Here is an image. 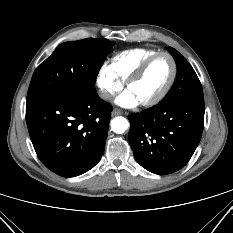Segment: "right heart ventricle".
Returning a JSON list of instances; mask_svg holds the SVG:
<instances>
[{
  "label": "right heart ventricle",
  "instance_id": "right-heart-ventricle-1",
  "mask_svg": "<svg viewBox=\"0 0 233 233\" xmlns=\"http://www.w3.org/2000/svg\"><path fill=\"white\" fill-rule=\"evenodd\" d=\"M156 53H158L157 50L150 48L126 50L115 55L108 66L112 73L124 83L142 62Z\"/></svg>",
  "mask_w": 233,
  "mask_h": 233
}]
</instances>
